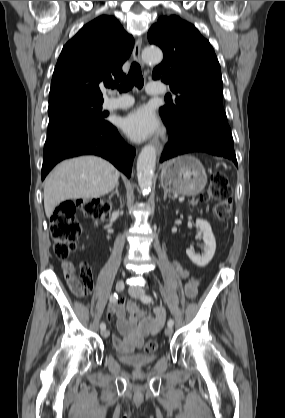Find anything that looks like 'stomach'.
I'll list each match as a JSON object with an SVG mask.
<instances>
[{"label":"stomach","mask_w":285,"mask_h":418,"mask_svg":"<svg viewBox=\"0 0 285 418\" xmlns=\"http://www.w3.org/2000/svg\"><path fill=\"white\" fill-rule=\"evenodd\" d=\"M160 178L166 191L186 196L197 195L207 183L203 165L190 155L167 161L162 167Z\"/></svg>","instance_id":"stomach-1"}]
</instances>
